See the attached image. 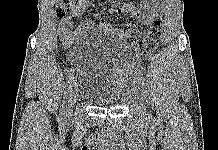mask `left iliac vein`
<instances>
[{"label": "left iliac vein", "mask_w": 218, "mask_h": 150, "mask_svg": "<svg viewBox=\"0 0 218 150\" xmlns=\"http://www.w3.org/2000/svg\"><path fill=\"white\" fill-rule=\"evenodd\" d=\"M141 87H142V86L139 85L137 88L140 89ZM142 88H143V87H142ZM133 92L135 93V96H138L137 98H138V101H139V104H140V109H141V111L143 112V114H146V108H145L144 103H143V97H142V95H140V93L138 92L137 89H135Z\"/></svg>", "instance_id": "4c4485c4"}]
</instances>
